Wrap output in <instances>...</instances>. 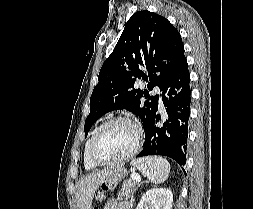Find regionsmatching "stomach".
<instances>
[{
    "mask_svg": "<svg viewBox=\"0 0 253 209\" xmlns=\"http://www.w3.org/2000/svg\"><path fill=\"white\" fill-rule=\"evenodd\" d=\"M125 176H129V171L117 170L112 176L108 177L103 183H100V192H113L114 188H118L117 182H123ZM97 198L101 199L99 193Z\"/></svg>",
    "mask_w": 253,
    "mask_h": 209,
    "instance_id": "stomach-1",
    "label": "stomach"
}]
</instances>
